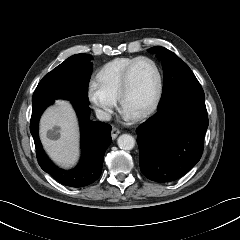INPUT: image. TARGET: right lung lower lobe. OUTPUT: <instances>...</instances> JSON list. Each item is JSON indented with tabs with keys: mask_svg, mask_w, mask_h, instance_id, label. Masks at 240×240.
Here are the masks:
<instances>
[{
	"mask_svg": "<svg viewBox=\"0 0 240 240\" xmlns=\"http://www.w3.org/2000/svg\"><path fill=\"white\" fill-rule=\"evenodd\" d=\"M54 99L46 98L33 102L30 131L36 147V156L40 167L59 183L70 187H84L96 181L102 171L104 154L110 143L111 126L91 121L88 104L71 101L81 127V160L77 167L65 171L56 167L43 151L38 136V122L42 112Z\"/></svg>",
	"mask_w": 240,
	"mask_h": 240,
	"instance_id": "right-lung-lower-lobe-1",
	"label": "right lung lower lobe"
}]
</instances>
